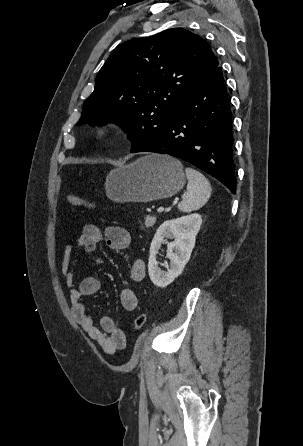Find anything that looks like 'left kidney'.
I'll list each match as a JSON object with an SVG mask.
<instances>
[{
	"label": "left kidney",
	"instance_id": "1",
	"mask_svg": "<svg viewBox=\"0 0 303 446\" xmlns=\"http://www.w3.org/2000/svg\"><path fill=\"white\" fill-rule=\"evenodd\" d=\"M201 224V215L194 213L167 220L157 229L151 242L148 261L149 276L156 286L164 288L182 273L190 259ZM165 238H174V241L167 243ZM163 243H167V257L170 259V269L167 272L158 267L156 259Z\"/></svg>",
	"mask_w": 303,
	"mask_h": 446
}]
</instances>
